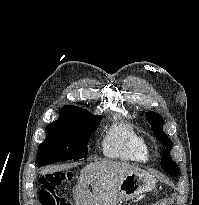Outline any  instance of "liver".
I'll return each mask as SVG.
<instances>
[{"label": "liver", "instance_id": "1", "mask_svg": "<svg viewBox=\"0 0 199 205\" xmlns=\"http://www.w3.org/2000/svg\"><path fill=\"white\" fill-rule=\"evenodd\" d=\"M140 168L117 161H95L81 169L73 190L76 205H116L118 190L123 178ZM92 187V192L89 189Z\"/></svg>", "mask_w": 199, "mask_h": 205}]
</instances>
